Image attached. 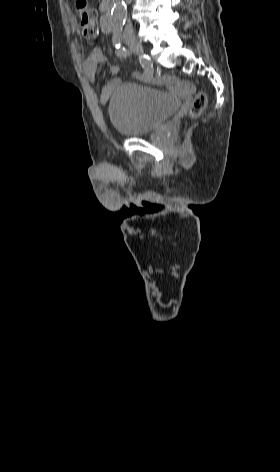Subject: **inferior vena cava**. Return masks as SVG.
Wrapping results in <instances>:
<instances>
[{"mask_svg":"<svg viewBox=\"0 0 280 472\" xmlns=\"http://www.w3.org/2000/svg\"><path fill=\"white\" fill-rule=\"evenodd\" d=\"M132 0H126L127 3H130ZM130 29L132 30V26H130Z\"/></svg>","mask_w":280,"mask_h":472,"instance_id":"1","label":"inferior vena cava"}]
</instances>
